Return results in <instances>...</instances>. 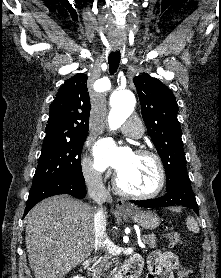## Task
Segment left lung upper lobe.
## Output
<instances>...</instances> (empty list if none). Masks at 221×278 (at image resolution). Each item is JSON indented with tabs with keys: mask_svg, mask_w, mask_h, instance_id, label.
Returning a JSON list of instances; mask_svg holds the SVG:
<instances>
[{
	"mask_svg": "<svg viewBox=\"0 0 221 278\" xmlns=\"http://www.w3.org/2000/svg\"><path fill=\"white\" fill-rule=\"evenodd\" d=\"M133 82L143 120L162 159L169 188L179 179L188 177L176 98L160 80L148 74L135 77Z\"/></svg>",
	"mask_w": 221,
	"mask_h": 278,
	"instance_id": "5c2ea615",
	"label": "left lung upper lobe"
}]
</instances>
